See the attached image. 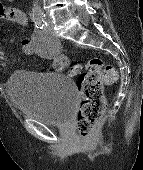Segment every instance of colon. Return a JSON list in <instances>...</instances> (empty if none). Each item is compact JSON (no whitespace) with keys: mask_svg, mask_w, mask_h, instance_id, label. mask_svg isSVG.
<instances>
[{"mask_svg":"<svg viewBox=\"0 0 143 170\" xmlns=\"http://www.w3.org/2000/svg\"><path fill=\"white\" fill-rule=\"evenodd\" d=\"M62 67L66 68L64 57H59ZM71 76H77L81 104L77 115V130L81 139H88L91 131L101 121L106 101L103 94L105 84L115 83L118 73L112 66L105 65L100 59L92 58L85 65L76 64L69 70Z\"/></svg>","mask_w":143,"mask_h":170,"instance_id":"1","label":"colon"}]
</instances>
